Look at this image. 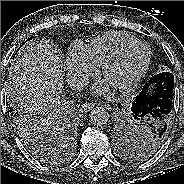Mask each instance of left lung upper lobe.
I'll use <instances>...</instances> for the list:
<instances>
[{
    "label": "left lung upper lobe",
    "mask_w": 184,
    "mask_h": 184,
    "mask_svg": "<svg viewBox=\"0 0 184 184\" xmlns=\"http://www.w3.org/2000/svg\"><path fill=\"white\" fill-rule=\"evenodd\" d=\"M119 135L120 149L128 157L144 159L154 154L165 141L168 131L159 134L144 121L128 114L116 124Z\"/></svg>",
    "instance_id": "left-lung-upper-lobe-1"
}]
</instances>
